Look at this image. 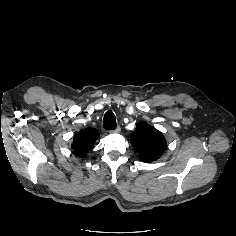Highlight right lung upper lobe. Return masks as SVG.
<instances>
[{"label":"right lung upper lobe","instance_id":"obj_1","mask_svg":"<svg viewBox=\"0 0 236 236\" xmlns=\"http://www.w3.org/2000/svg\"><path fill=\"white\" fill-rule=\"evenodd\" d=\"M98 131L92 128H86L78 132L73 139L72 148L76 155L83 157L93 146L98 138Z\"/></svg>","mask_w":236,"mask_h":236}]
</instances>
